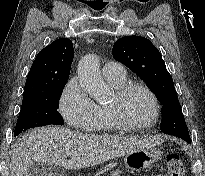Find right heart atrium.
Segmentation results:
<instances>
[{
    "label": "right heart atrium",
    "mask_w": 205,
    "mask_h": 176,
    "mask_svg": "<svg viewBox=\"0 0 205 176\" xmlns=\"http://www.w3.org/2000/svg\"><path fill=\"white\" fill-rule=\"evenodd\" d=\"M58 108L65 121L77 130L90 129L97 117V105L77 78L69 80L65 85Z\"/></svg>",
    "instance_id": "1"
}]
</instances>
